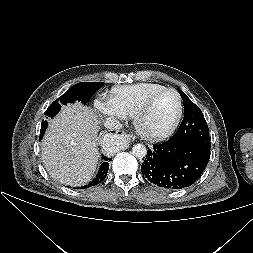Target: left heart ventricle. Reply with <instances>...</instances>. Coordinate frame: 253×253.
<instances>
[{
    "instance_id": "obj_1",
    "label": "left heart ventricle",
    "mask_w": 253,
    "mask_h": 253,
    "mask_svg": "<svg viewBox=\"0 0 253 253\" xmlns=\"http://www.w3.org/2000/svg\"><path fill=\"white\" fill-rule=\"evenodd\" d=\"M176 113V96L172 92H166L152 103L141 119V127L148 133H159L172 123Z\"/></svg>"
}]
</instances>
